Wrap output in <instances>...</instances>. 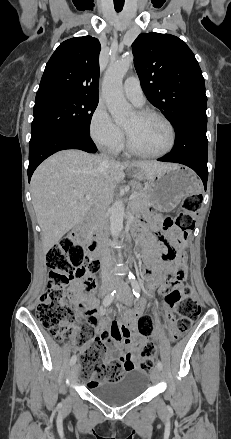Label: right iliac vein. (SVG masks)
Listing matches in <instances>:
<instances>
[{
  "label": "right iliac vein",
  "mask_w": 231,
  "mask_h": 439,
  "mask_svg": "<svg viewBox=\"0 0 231 439\" xmlns=\"http://www.w3.org/2000/svg\"><path fill=\"white\" fill-rule=\"evenodd\" d=\"M115 286H116L115 284H112V285H110L109 289L112 290ZM78 374H79V365L75 364V365H73V367L71 369V373H70V377L74 382L77 381Z\"/></svg>",
  "instance_id": "obj_1"
}]
</instances>
